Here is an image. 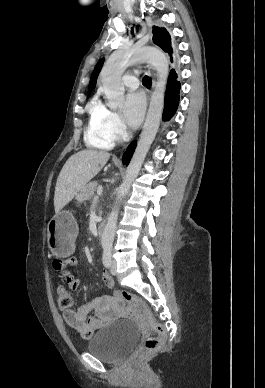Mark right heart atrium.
<instances>
[{"instance_id":"obj_1","label":"right heart atrium","mask_w":265,"mask_h":388,"mask_svg":"<svg viewBox=\"0 0 265 388\" xmlns=\"http://www.w3.org/2000/svg\"><path fill=\"white\" fill-rule=\"evenodd\" d=\"M102 118L103 128L108 135L113 138H123L127 135L128 129L119 114L104 107Z\"/></svg>"}]
</instances>
